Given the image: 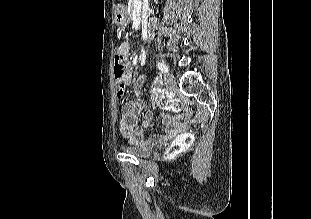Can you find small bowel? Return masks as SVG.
I'll use <instances>...</instances> for the list:
<instances>
[{
	"label": "small bowel",
	"instance_id": "small-bowel-1",
	"mask_svg": "<svg viewBox=\"0 0 311 219\" xmlns=\"http://www.w3.org/2000/svg\"><path fill=\"white\" fill-rule=\"evenodd\" d=\"M117 53L122 56H128L130 54V45L128 42H123L119 45ZM126 85H130L133 82L132 72L129 70L125 74ZM144 82V76L140 75L133 82V91L136 97L127 101L123 106V115L120 125V131L124 138L128 139L132 143L144 141V133L151 127L154 119V113L152 111L144 112V101L137 96L141 86ZM143 114V120L140 125L139 118ZM162 122L165 126V132L162 135H155L150 138V142L155 141L158 138H169L175 136L177 133L184 129V125L181 124L177 118L170 116L169 114H162Z\"/></svg>",
	"mask_w": 311,
	"mask_h": 219
}]
</instances>
